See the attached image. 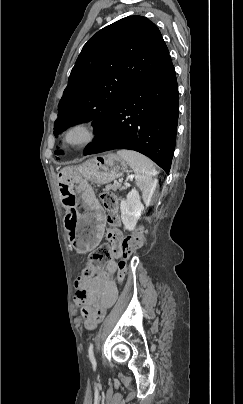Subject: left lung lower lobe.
Instances as JSON below:
<instances>
[{
	"instance_id": "0a47b994",
	"label": "left lung lower lobe",
	"mask_w": 243,
	"mask_h": 404,
	"mask_svg": "<svg viewBox=\"0 0 243 404\" xmlns=\"http://www.w3.org/2000/svg\"><path fill=\"white\" fill-rule=\"evenodd\" d=\"M179 114L178 84L169 57L139 82L96 132L84 155L113 149L138 151L168 174Z\"/></svg>"
}]
</instances>
